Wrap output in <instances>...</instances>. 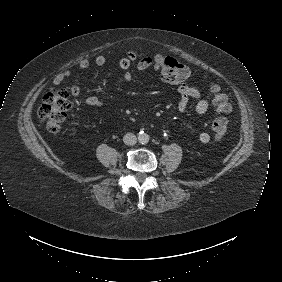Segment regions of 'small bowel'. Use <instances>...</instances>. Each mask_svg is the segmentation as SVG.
Here are the masks:
<instances>
[{
    "mask_svg": "<svg viewBox=\"0 0 282 282\" xmlns=\"http://www.w3.org/2000/svg\"><path fill=\"white\" fill-rule=\"evenodd\" d=\"M136 62V66L139 72L145 73L150 69L154 64V59L150 56L143 57L138 59L135 52L130 51L124 57L118 61L119 68L123 71V79L126 82H130L133 78L132 73L130 72V67L133 63ZM106 63V58L103 55H98L95 58V64L97 66H103ZM90 67V62L87 59H82L78 65V71H85ZM72 75L71 70H63L57 73L53 79L52 83L54 85L61 84L65 79ZM158 79L166 84H170L177 87L179 93V102L177 104V109L179 112L184 113L187 111L189 103L191 100L195 101V112L198 115L205 114L210 106L209 101L202 95L200 90L195 87L188 85L186 82L178 80L174 77L167 76L164 74H158ZM85 104L92 107H97L101 105V100L96 96H89L85 100ZM199 141L202 144H207L210 141V135L207 132H201L199 134Z\"/></svg>",
    "mask_w": 282,
    "mask_h": 282,
    "instance_id": "obj_1",
    "label": "small bowel"
}]
</instances>
